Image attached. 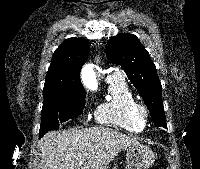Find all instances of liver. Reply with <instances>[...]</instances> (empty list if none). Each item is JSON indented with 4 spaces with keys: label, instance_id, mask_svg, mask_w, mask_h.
<instances>
[{
    "label": "liver",
    "instance_id": "liver-1",
    "mask_svg": "<svg viewBox=\"0 0 200 169\" xmlns=\"http://www.w3.org/2000/svg\"><path fill=\"white\" fill-rule=\"evenodd\" d=\"M139 142L111 128L50 131L40 141V169H106L121 150Z\"/></svg>",
    "mask_w": 200,
    "mask_h": 169
}]
</instances>
